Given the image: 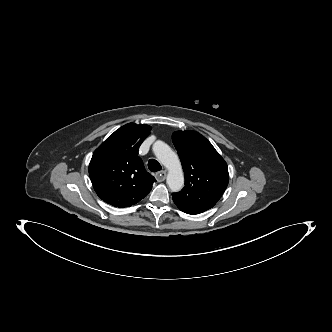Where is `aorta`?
Segmentation results:
<instances>
[{"label": "aorta", "instance_id": "762f6f07", "mask_svg": "<svg viewBox=\"0 0 332 332\" xmlns=\"http://www.w3.org/2000/svg\"><path fill=\"white\" fill-rule=\"evenodd\" d=\"M153 152L158 161L168 169L167 185L170 190L180 191L184 186V175L177 154L162 141L153 144Z\"/></svg>", "mask_w": 332, "mask_h": 332}]
</instances>
